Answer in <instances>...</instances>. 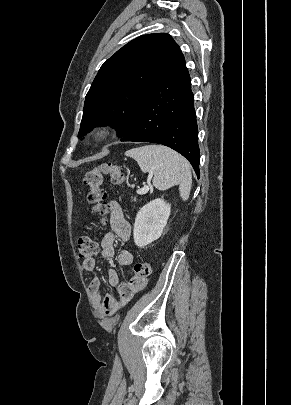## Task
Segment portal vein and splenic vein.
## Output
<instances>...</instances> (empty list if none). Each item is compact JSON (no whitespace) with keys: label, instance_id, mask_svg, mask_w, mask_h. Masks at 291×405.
<instances>
[{"label":"portal vein and splenic vein","instance_id":"obj_1","mask_svg":"<svg viewBox=\"0 0 291 405\" xmlns=\"http://www.w3.org/2000/svg\"><path fill=\"white\" fill-rule=\"evenodd\" d=\"M149 191V186H144L143 188L137 190V193L140 195L146 194Z\"/></svg>","mask_w":291,"mask_h":405}]
</instances>
